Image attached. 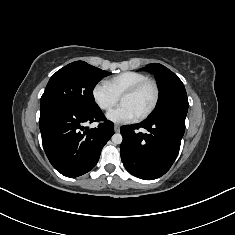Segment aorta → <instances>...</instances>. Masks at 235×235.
Instances as JSON below:
<instances>
[{"label": "aorta", "mask_w": 235, "mask_h": 235, "mask_svg": "<svg viewBox=\"0 0 235 235\" xmlns=\"http://www.w3.org/2000/svg\"><path fill=\"white\" fill-rule=\"evenodd\" d=\"M122 135L120 133H116L112 136V142L114 144H121L122 143Z\"/></svg>", "instance_id": "762f6f07"}]
</instances>
